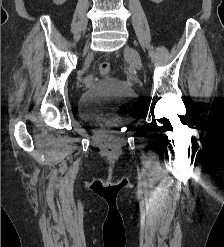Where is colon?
Returning <instances> with one entry per match:
<instances>
[{"instance_id": "obj_1", "label": "colon", "mask_w": 224, "mask_h": 247, "mask_svg": "<svg viewBox=\"0 0 224 247\" xmlns=\"http://www.w3.org/2000/svg\"><path fill=\"white\" fill-rule=\"evenodd\" d=\"M111 65L109 62H101L98 66V74L101 76V77H107L109 76V74L111 73Z\"/></svg>"}]
</instances>
